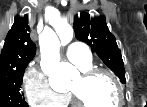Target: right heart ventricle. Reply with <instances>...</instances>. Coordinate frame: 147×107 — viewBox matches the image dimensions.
<instances>
[{
    "label": "right heart ventricle",
    "instance_id": "1",
    "mask_svg": "<svg viewBox=\"0 0 147 107\" xmlns=\"http://www.w3.org/2000/svg\"><path fill=\"white\" fill-rule=\"evenodd\" d=\"M87 68H89V66H88V67H86V68H81V69L85 70V69H87ZM67 102H68V100L66 101V103H67ZM66 103H65V104H66Z\"/></svg>",
    "mask_w": 147,
    "mask_h": 107
}]
</instances>
